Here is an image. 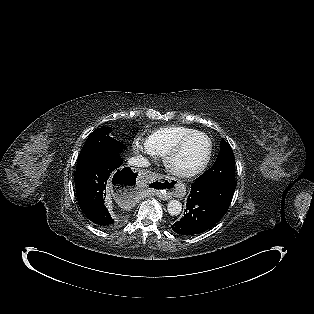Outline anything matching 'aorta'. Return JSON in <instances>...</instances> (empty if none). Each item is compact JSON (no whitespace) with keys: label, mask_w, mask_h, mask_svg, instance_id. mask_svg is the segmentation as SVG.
Returning a JSON list of instances; mask_svg holds the SVG:
<instances>
[{"label":"aorta","mask_w":314,"mask_h":314,"mask_svg":"<svg viewBox=\"0 0 314 314\" xmlns=\"http://www.w3.org/2000/svg\"><path fill=\"white\" fill-rule=\"evenodd\" d=\"M167 211L171 216H177L182 211V204L178 200H170L167 205Z\"/></svg>","instance_id":"obj_1"}]
</instances>
